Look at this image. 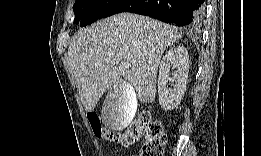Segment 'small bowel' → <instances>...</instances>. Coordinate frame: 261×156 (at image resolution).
I'll list each match as a JSON object with an SVG mask.
<instances>
[{
	"label": "small bowel",
	"instance_id": "c3829d8e",
	"mask_svg": "<svg viewBox=\"0 0 261 156\" xmlns=\"http://www.w3.org/2000/svg\"><path fill=\"white\" fill-rule=\"evenodd\" d=\"M95 116V119H97L98 120V117L96 116V115H94Z\"/></svg>",
	"mask_w": 261,
	"mask_h": 156
}]
</instances>
